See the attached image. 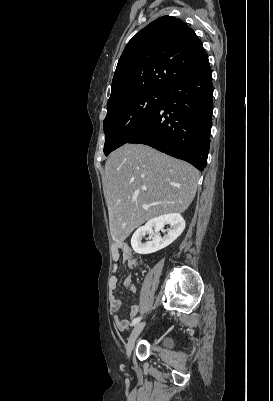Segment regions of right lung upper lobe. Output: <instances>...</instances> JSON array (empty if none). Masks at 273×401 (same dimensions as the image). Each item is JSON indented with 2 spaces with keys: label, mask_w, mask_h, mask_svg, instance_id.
<instances>
[{
  "label": "right lung upper lobe",
  "mask_w": 273,
  "mask_h": 401,
  "mask_svg": "<svg viewBox=\"0 0 273 401\" xmlns=\"http://www.w3.org/2000/svg\"><path fill=\"white\" fill-rule=\"evenodd\" d=\"M207 63L202 43L190 27L180 19L160 17L126 45L107 105L142 91H164Z\"/></svg>",
  "instance_id": "1"
}]
</instances>
